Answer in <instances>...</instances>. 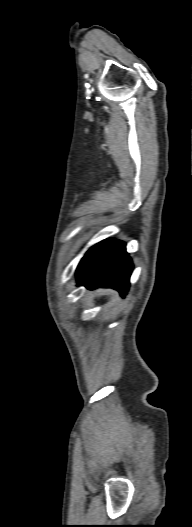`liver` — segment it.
<instances>
[{"mask_svg": "<svg viewBox=\"0 0 192 527\" xmlns=\"http://www.w3.org/2000/svg\"><path fill=\"white\" fill-rule=\"evenodd\" d=\"M98 293L99 294H108V295H112V296L115 295L114 291H112V290H99Z\"/></svg>", "mask_w": 192, "mask_h": 527, "instance_id": "6515ba94", "label": "liver"}]
</instances>
